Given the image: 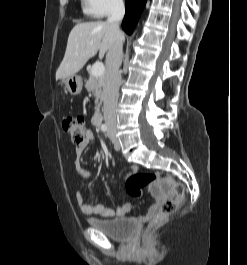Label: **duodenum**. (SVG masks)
Listing matches in <instances>:
<instances>
[{"label":"duodenum","instance_id":"410a0bca","mask_svg":"<svg viewBox=\"0 0 247 265\" xmlns=\"http://www.w3.org/2000/svg\"><path fill=\"white\" fill-rule=\"evenodd\" d=\"M94 125H95L97 128H100V127H101V125H102V116H101V115H97V116L95 117Z\"/></svg>","mask_w":247,"mask_h":265}]
</instances>
